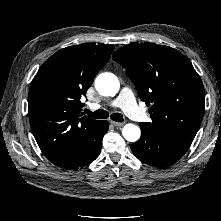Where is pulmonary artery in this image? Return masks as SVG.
<instances>
[{
	"mask_svg": "<svg viewBox=\"0 0 221 221\" xmlns=\"http://www.w3.org/2000/svg\"><path fill=\"white\" fill-rule=\"evenodd\" d=\"M110 107H122L126 114L134 120L143 121L146 118L145 113L138 107L134 94L129 88H123L119 97L109 104ZM101 105L92 104L91 108L98 109Z\"/></svg>",
	"mask_w": 221,
	"mask_h": 221,
	"instance_id": "obj_1",
	"label": "pulmonary artery"
}]
</instances>
